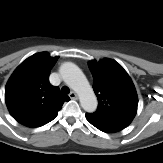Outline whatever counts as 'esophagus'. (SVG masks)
Listing matches in <instances>:
<instances>
[{
    "label": "esophagus",
    "instance_id": "esophagus-1",
    "mask_svg": "<svg viewBox=\"0 0 163 163\" xmlns=\"http://www.w3.org/2000/svg\"><path fill=\"white\" fill-rule=\"evenodd\" d=\"M69 97H70L71 99H77V98H78L76 92H74V91H71V92H70Z\"/></svg>",
    "mask_w": 163,
    "mask_h": 163
}]
</instances>
